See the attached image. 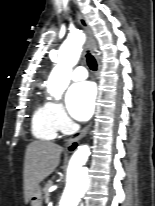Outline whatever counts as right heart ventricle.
I'll list each match as a JSON object with an SVG mask.
<instances>
[{"label":"right heart ventricle","instance_id":"1","mask_svg":"<svg viewBox=\"0 0 155 206\" xmlns=\"http://www.w3.org/2000/svg\"><path fill=\"white\" fill-rule=\"evenodd\" d=\"M32 132L40 140H53L57 136V128L47 110V103L39 105L32 117Z\"/></svg>","mask_w":155,"mask_h":206}]
</instances>
